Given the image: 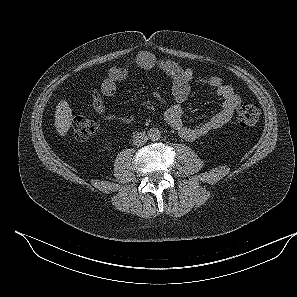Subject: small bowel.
I'll use <instances>...</instances> for the list:
<instances>
[{
  "label": "small bowel",
  "instance_id": "1",
  "mask_svg": "<svg viewBox=\"0 0 297 297\" xmlns=\"http://www.w3.org/2000/svg\"><path fill=\"white\" fill-rule=\"evenodd\" d=\"M132 68L147 71L158 69L169 78L175 103L165 109L164 118L167 124L176 130L178 135L186 141L198 140L227 124L242 101L233 87L225 84L222 78L218 76H199L192 67L184 68L173 61L158 59L149 51H140L126 63L113 66L101 83V91L93 94L92 106L107 123L129 124L134 120V116L131 114L116 115L106 113V105L103 99V96L110 97L115 95L118 83L128 77ZM193 83L213 88L216 95L221 99V108L208 120L195 126H188L183 119L181 104L189 96ZM153 96L160 104H165L160 92L153 91Z\"/></svg>",
  "mask_w": 297,
  "mask_h": 297
}]
</instances>
